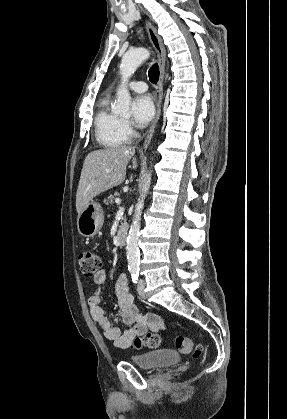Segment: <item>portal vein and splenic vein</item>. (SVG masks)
<instances>
[{
	"label": "portal vein and splenic vein",
	"mask_w": 287,
	"mask_h": 419,
	"mask_svg": "<svg viewBox=\"0 0 287 419\" xmlns=\"http://www.w3.org/2000/svg\"><path fill=\"white\" fill-rule=\"evenodd\" d=\"M115 202H116V203H120V199H119V198H116V199H115Z\"/></svg>",
	"instance_id": "1"
}]
</instances>
